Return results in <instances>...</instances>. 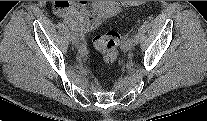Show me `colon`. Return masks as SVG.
I'll use <instances>...</instances> for the list:
<instances>
[{
	"label": "colon",
	"instance_id": "5ec220e1",
	"mask_svg": "<svg viewBox=\"0 0 207 121\" xmlns=\"http://www.w3.org/2000/svg\"><path fill=\"white\" fill-rule=\"evenodd\" d=\"M120 42V35L115 31H109L105 35L94 38V46L101 53L107 63H113L117 60Z\"/></svg>",
	"mask_w": 207,
	"mask_h": 121
}]
</instances>
